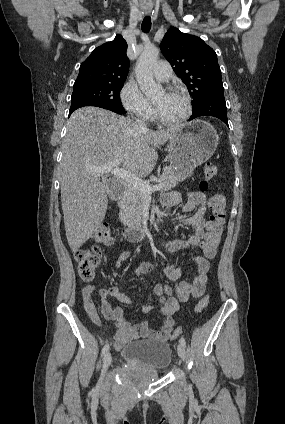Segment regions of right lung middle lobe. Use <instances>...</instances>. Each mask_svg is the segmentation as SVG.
<instances>
[{
    "instance_id": "1",
    "label": "right lung middle lobe",
    "mask_w": 285,
    "mask_h": 424,
    "mask_svg": "<svg viewBox=\"0 0 285 424\" xmlns=\"http://www.w3.org/2000/svg\"><path fill=\"white\" fill-rule=\"evenodd\" d=\"M123 83L124 81L74 85L71 103L76 101H88L124 110L120 100V91L123 87Z\"/></svg>"
}]
</instances>
